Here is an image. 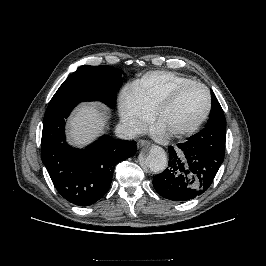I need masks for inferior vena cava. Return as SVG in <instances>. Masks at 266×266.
I'll return each instance as SVG.
<instances>
[{
	"instance_id": "602c4592",
	"label": "inferior vena cava",
	"mask_w": 266,
	"mask_h": 266,
	"mask_svg": "<svg viewBox=\"0 0 266 266\" xmlns=\"http://www.w3.org/2000/svg\"><path fill=\"white\" fill-rule=\"evenodd\" d=\"M139 133H141V129L137 125L131 123L120 122L116 128L117 136L125 140L133 139Z\"/></svg>"
}]
</instances>
